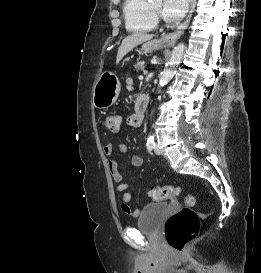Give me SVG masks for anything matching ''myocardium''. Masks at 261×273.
I'll return each instance as SVG.
<instances>
[{
    "instance_id": "myocardium-1",
    "label": "myocardium",
    "mask_w": 261,
    "mask_h": 273,
    "mask_svg": "<svg viewBox=\"0 0 261 273\" xmlns=\"http://www.w3.org/2000/svg\"><path fill=\"white\" fill-rule=\"evenodd\" d=\"M150 9H151L152 14L157 22L161 18V11L159 9L155 8L151 3H150Z\"/></svg>"
}]
</instances>
